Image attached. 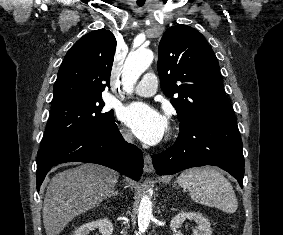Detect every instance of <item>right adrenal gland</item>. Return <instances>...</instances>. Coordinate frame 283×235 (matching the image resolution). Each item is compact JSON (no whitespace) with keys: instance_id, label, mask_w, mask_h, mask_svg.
<instances>
[{"instance_id":"obj_1","label":"right adrenal gland","mask_w":283,"mask_h":235,"mask_svg":"<svg viewBox=\"0 0 283 235\" xmlns=\"http://www.w3.org/2000/svg\"><path fill=\"white\" fill-rule=\"evenodd\" d=\"M117 195H119V191L116 190V189H114V190L111 192V194L108 196V198H110L111 196H117Z\"/></svg>"}]
</instances>
